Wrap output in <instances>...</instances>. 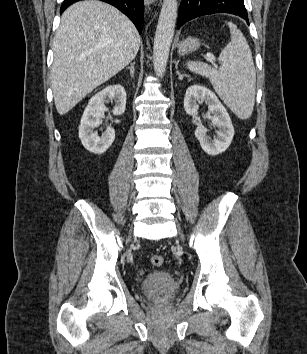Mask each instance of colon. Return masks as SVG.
<instances>
[{
	"label": "colon",
	"instance_id": "5ec220e1",
	"mask_svg": "<svg viewBox=\"0 0 307 354\" xmlns=\"http://www.w3.org/2000/svg\"><path fill=\"white\" fill-rule=\"evenodd\" d=\"M151 263L156 267H160L164 263V258L161 255L155 254L151 257Z\"/></svg>",
	"mask_w": 307,
	"mask_h": 354
}]
</instances>
